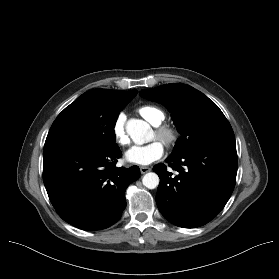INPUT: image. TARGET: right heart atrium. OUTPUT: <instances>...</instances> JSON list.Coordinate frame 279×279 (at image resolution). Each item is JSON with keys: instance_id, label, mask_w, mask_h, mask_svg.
<instances>
[{"instance_id": "d8ad5b80", "label": "right heart atrium", "mask_w": 279, "mask_h": 279, "mask_svg": "<svg viewBox=\"0 0 279 279\" xmlns=\"http://www.w3.org/2000/svg\"><path fill=\"white\" fill-rule=\"evenodd\" d=\"M112 133L115 141L120 146H125L129 143V138L124 125V119L122 116L118 117L112 126Z\"/></svg>"}]
</instances>
